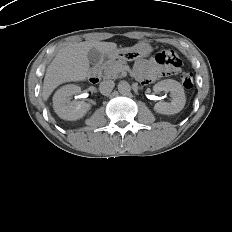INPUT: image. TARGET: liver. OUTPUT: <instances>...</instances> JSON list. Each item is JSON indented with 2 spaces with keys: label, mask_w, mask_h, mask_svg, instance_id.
<instances>
[{
  "label": "liver",
  "mask_w": 232,
  "mask_h": 232,
  "mask_svg": "<svg viewBox=\"0 0 232 232\" xmlns=\"http://www.w3.org/2000/svg\"><path fill=\"white\" fill-rule=\"evenodd\" d=\"M92 48H96L102 55L106 56L117 50V44L85 41L62 47L47 67L42 90L44 101L61 84L86 80L90 70L87 54Z\"/></svg>",
  "instance_id": "obj_1"
}]
</instances>
